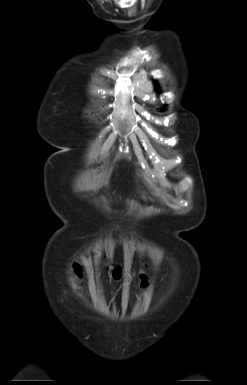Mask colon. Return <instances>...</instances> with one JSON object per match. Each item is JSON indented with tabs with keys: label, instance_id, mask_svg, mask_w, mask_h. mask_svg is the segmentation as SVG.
I'll return each mask as SVG.
<instances>
[{
	"label": "colon",
	"instance_id": "5ec220e1",
	"mask_svg": "<svg viewBox=\"0 0 247 385\" xmlns=\"http://www.w3.org/2000/svg\"><path fill=\"white\" fill-rule=\"evenodd\" d=\"M110 273L111 276L116 280L121 279L124 275L122 268L119 266H114L113 268H111ZM139 280L142 286H145L147 284V276L144 272H140Z\"/></svg>",
	"mask_w": 247,
	"mask_h": 385
}]
</instances>
